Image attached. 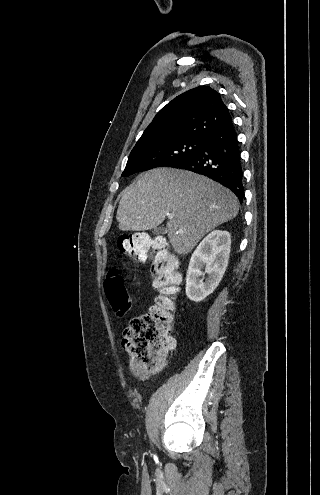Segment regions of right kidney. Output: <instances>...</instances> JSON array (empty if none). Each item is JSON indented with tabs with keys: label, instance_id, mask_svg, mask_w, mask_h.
Masks as SVG:
<instances>
[{
	"label": "right kidney",
	"instance_id": "1",
	"mask_svg": "<svg viewBox=\"0 0 320 495\" xmlns=\"http://www.w3.org/2000/svg\"><path fill=\"white\" fill-rule=\"evenodd\" d=\"M230 247L231 236L222 230L212 231L199 243L186 276V295L191 301L204 300L219 285L228 265ZM204 267L205 272H202Z\"/></svg>",
	"mask_w": 320,
	"mask_h": 495
}]
</instances>
